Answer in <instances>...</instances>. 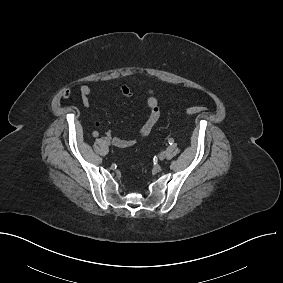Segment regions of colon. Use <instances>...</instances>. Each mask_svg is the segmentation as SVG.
I'll use <instances>...</instances> for the list:
<instances>
[{"label":"colon","mask_w":283,"mask_h":283,"mask_svg":"<svg viewBox=\"0 0 283 283\" xmlns=\"http://www.w3.org/2000/svg\"><path fill=\"white\" fill-rule=\"evenodd\" d=\"M68 96V91L64 92V97ZM205 110L204 106H191L186 109L188 115H195L201 113Z\"/></svg>","instance_id":"obj_1"}]
</instances>
